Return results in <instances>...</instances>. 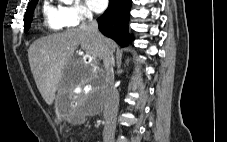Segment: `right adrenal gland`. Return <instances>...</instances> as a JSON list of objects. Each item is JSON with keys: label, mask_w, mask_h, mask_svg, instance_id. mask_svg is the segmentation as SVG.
Returning <instances> with one entry per match:
<instances>
[{"label": "right adrenal gland", "mask_w": 227, "mask_h": 142, "mask_svg": "<svg viewBox=\"0 0 227 142\" xmlns=\"http://www.w3.org/2000/svg\"><path fill=\"white\" fill-rule=\"evenodd\" d=\"M111 59H112V64H113V66H115V59H114L113 52H111Z\"/></svg>", "instance_id": "right-adrenal-gland-1"}]
</instances>
